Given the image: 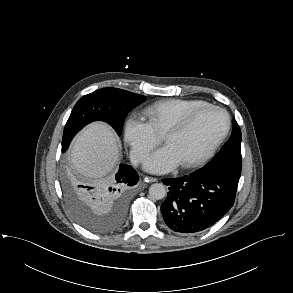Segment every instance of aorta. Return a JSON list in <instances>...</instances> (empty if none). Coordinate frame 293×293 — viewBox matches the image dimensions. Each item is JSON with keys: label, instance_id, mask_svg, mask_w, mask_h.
I'll list each match as a JSON object with an SVG mask.
<instances>
[{"label": "aorta", "instance_id": "obj_1", "mask_svg": "<svg viewBox=\"0 0 293 293\" xmlns=\"http://www.w3.org/2000/svg\"><path fill=\"white\" fill-rule=\"evenodd\" d=\"M167 194L166 188L161 183L152 184L149 188V195L154 200H161Z\"/></svg>", "mask_w": 293, "mask_h": 293}]
</instances>
